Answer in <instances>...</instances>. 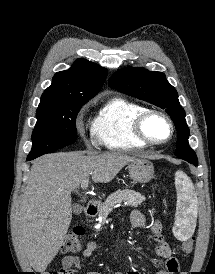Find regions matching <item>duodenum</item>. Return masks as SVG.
<instances>
[{
  "instance_id": "duodenum-1",
  "label": "duodenum",
  "mask_w": 215,
  "mask_h": 274,
  "mask_svg": "<svg viewBox=\"0 0 215 274\" xmlns=\"http://www.w3.org/2000/svg\"><path fill=\"white\" fill-rule=\"evenodd\" d=\"M98 211V204L96 201H90L85 207V215L87 217H93Z\"/></svg>"
}]
</instances>
